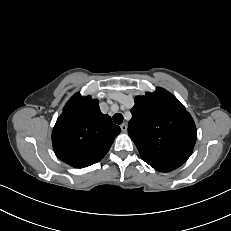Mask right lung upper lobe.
Masks as SVG:
<instances>
[{
	"mask_svg": "<svg viewBox=\"0 0 231 231\" xmlns=\"http://www.w3.org/2000/svg\"><path fill=\"white\" fill-rule=\"evenodd\" d=\"M119 133L120 127L101 113L98 100L76 93L53 128V149L64 163L84 168L99 162Z\"/></svg>",
	"mask_w": 231,
	"mask_h": 231,
	"instance_id": "cb5924a9",
	"label": "right lung upper lobe"
}]
</instances>
